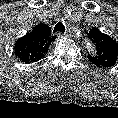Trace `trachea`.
Masks as SVG:
<instances>
[{"label": "trachea", "instance_id": "trachea-1", "mask_svg": "<svg viewBox=\"0 0 118 118\" xmlns=\"http://www.w3.org/2000/svg\"><path fill=\"white\" fill-rule=\"evenodd\" d=\"M53 32L54 33H56V32L64 33L65 32V26L63 25V23L62 22L57 23L54 27Z\"/></svg>", "mask_w": 118, "mask_h": 118}]
</instances>
